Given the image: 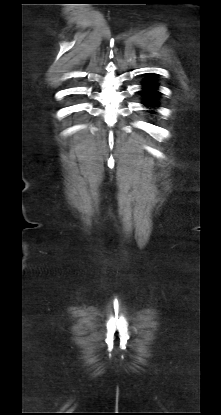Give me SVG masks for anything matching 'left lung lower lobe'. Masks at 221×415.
<instances>
[{"label":"left lung lower lobe","instance_id":"left-lung-lower-lobe-1","mask_svg":"<svg viewBox=\"0 0 221 415\" xmlns=\"http://www.w3.org/2000/svg\"><path fill=\"white\" fill-rule=\"evenodd\" d=\"M153 74H147L142 85V95L144 97L143 104L147 108H156L158 107L157 97L160 95L158 91V85L155 80L151 78ZM153 112V111H152Z\"/></svg>","mask_w":221,"mask_h":415}]
</instances>
